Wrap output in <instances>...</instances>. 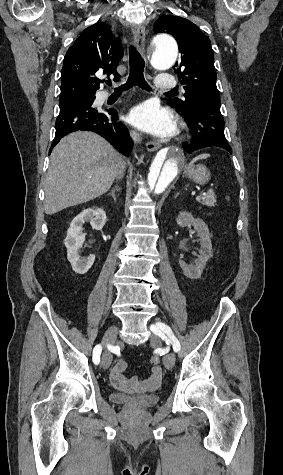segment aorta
I'll use <instances>...</instances> for the list:
<instances>
[{"instance_id":"1","label":"aorta","mask_w":283,"mask_h":475,"mask_svg":"<svg viewBox=\"0 0 283 475\" xmlns=\"http://www.w3.org/2000/svg\"><path fill=\"white\" fill-rule=\"evenodd\" d=\"M152 47L155 50L154 64L160 70L170 68L178 55L177 43L171 36L160 34L154 37ZM184 151L179 147L161 149L154 157L148 171L143 190V201L146 209H154L171 187L173 181L183 167Z\"/></svg>"}]
</instances>
